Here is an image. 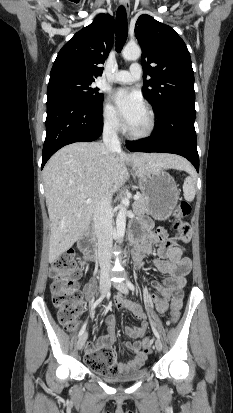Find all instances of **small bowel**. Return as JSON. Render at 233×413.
<instances>
[{"label": "small bowel", "instance_id": "small-bowel-1", "mask_svg": "<svg viewBox=\"0 0 233 413\" xmlns=\"http://www.w3.org/2000/svg\"><path fill=\"white\" fill-rule=\"evenodd\" d=\"M142 228L146 231L143 236L142 244L138 247L140 255V265L145 256L150 255L153 251V244H157V256L155 261L157 269L164 274H167L163 282L157 280L152 281V287L156 290V293L152 296V301L156 306L159 313L167 311L169 302L171 300V307L178 305L181 307L182 300V288L186 282V275L191 268V262L188 258H184V247L175 244L171 239L167 237L166 230L164 228H158L156 230L151 229V223L148 220L141 222ZM190 233L187 229L182 234V241L187 242L189 240ZM95 293V284L90 283L85 289L86 298L91 302ZM116 307L121 309H127L130 311L139 321V327H127L126 333L134 341H127L122 346L133 352V356L126 362H117L119 371H124L129 368H135L141 366L147 357V352L143 349L141 338L145 335L148 324L145 318V314L141 306L131 300L125 299L122 296H118L115 300ZM107 326V334L102 336L97 345H89L86 351V357H98L99 351L104 348H111L116 342L115 331V318L113 316H107L104 319Z\"/></svg>", "mask_w": 233, "mask_h": 413}]
</instances>
